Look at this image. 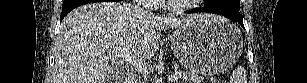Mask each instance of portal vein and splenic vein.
Wrapping results in <instances>:
<instances>
[{
  "mask_svg": "<svg viewBox=\"0 0 307 83\" xmlns=\"http://www.w3.org/2000/svg\"><path fill=\"white\" fill-rule=\"evenodd\" d=\"M109 53L114 54L115 56H120L122 58H124L127 62H129L138 72L143 73V74H147L148 70L146 68V66L140 62L138 59H136L135 57H133L132 55H130L126 50H122V49H113L111 51H109ZM179 78V76L177 74H171L170 76H168V80L169 81H175Z\"/></svg>",
  "mask_w": 307,
  "mask_h": 83,
  "instance_id": "portal-vein-and-splenic-vein-1",
  "label": "portal vein and splenic vein"
}]
</instances>
